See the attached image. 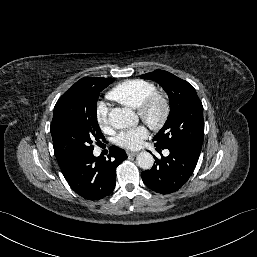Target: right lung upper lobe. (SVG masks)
<instances>
[{
    "label": "right lung upper lobe",
    "mask_w": 257,
    "mask_h": 257,
    "mask_svg": "<svg viewBox=\"0 0 257 257\" xmlns=\"http://www.w3.org/2000/svg\"><path fill=\"white\" fill-rule=\"evenodd\" d=\"M111 79H113V78L84 77V78L80 79L78 82H76L73 86H77L80 83L85 82V81H94V80L109 81ZM54 152H55V156H56V159L58 161V164L60 166V169H61L62 173H66L70 169L73 161L76 160V159L68 157L66 155H63L55 149H54Z\"/></svg>",
    "instance_id": "cb5924a9"
}]
</instances>
